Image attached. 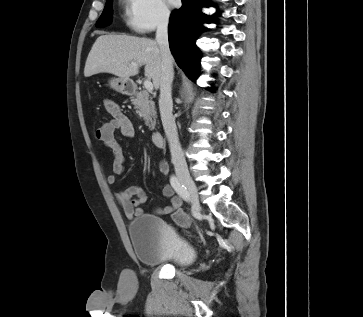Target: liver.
<instances>
[{
    "instance_id": "liver-1",
    "label": "liver",
    "mask_w": 363,
    "mask_h": 317,
    "mask_svg": "<svg viewBox=\"0 0 363 317\" xmlns=\"http://www.w3.org/2000/svg\"><path fill=\"white\" fill-rule=\"evenodd\" d=\"M145 65V76L152 79L159 88L162 57L156 41L128 35H101L88 54L84 76L110 73L119 78L129 79L139 73L138 68L129 65Z\"/></svg>"
}]
</instances>
